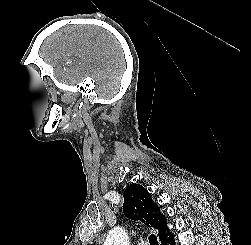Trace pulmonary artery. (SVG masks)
<instances>
[{"instance_id":"1","label":"pulmonary artery","mask_w":251,"mask_h":245,"mask_svg":"<svg viewBox=\"0 0 251 245\" xmlns=\"http://www.w3.org/2000/svg\"><path fill=\"white\" fill-rule=\"evenodd\" d=\"M139 245H146V243L145 242H141V243H139Z\"/></svg>"}]
</instances>
